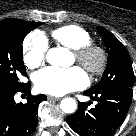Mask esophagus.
<instances>
[{
    "label": "esophagus",
    "mask_w": 136,
    "mask_h": 136,
    "mask_svg": "<svg viewBox=\"0 0 136 136\" xmlns=\"http://www.w3.org/2000/svg\"><path fill=\"white\" fill-rule=\"evenodd\" d=\"M47 99L49 100V101H59L60 100V98H58V97H54V96H47Z\"/></svg>",
    "instance_id": "34e87169"
}]
</instances>
